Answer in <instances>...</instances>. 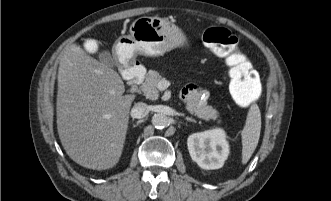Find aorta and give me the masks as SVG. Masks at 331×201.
<instances>
[{"label": "aorta", "mask_w": 331, "mask_h": 201, "mask_svg": "<svg viewBox=\"0 0 331 201\" xmlns=\"http://www.w3.org/2000/svg\"><path fill=\"white\" fill-rule=\"evenodd\" d=\"M152 124L157 129H163L168 126L169 119L162 113L154 114L152 117Z\"/></svg>", "instance_id": "762f6f07"}]
</instances>
